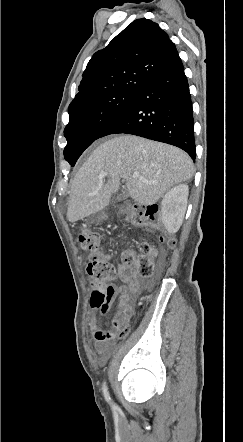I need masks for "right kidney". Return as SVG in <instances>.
<instances>
[{"label": "right kidney", "instance_id": "right-kidney-1", "mask_svg": "<svg viewBox=\"0 0 243 442\" xmlns=\"http://www.w3.org/2000/svg\"><path fill=\"white\" fill-rule=\"evenodd\" d=\"M188 193V185L180 184L169 190L162 199L161 219L171 233L177 232L183 222Z\"/></svg>", "mask_w": 243, "mask_h": 442}]
</instances>
